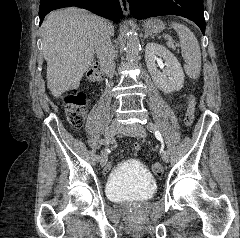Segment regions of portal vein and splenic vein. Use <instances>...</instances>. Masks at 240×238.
<instances>
[{"instance_id":"obj_1","label":"portal vein and splenic vein","mask_w":240,"mask_h":238,"mask_svg":"<svg viewBox=\"0 0 240 238\" xmlns=\"http://www.w3.org/2000/svg\"><path fill=\"white\" fill-rule=\"evenodd\" d=\"M167 45H168V47L174 48L172 39H168Z\"/></svg>"}]
</instances>
